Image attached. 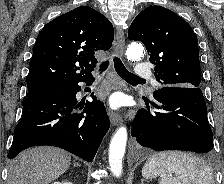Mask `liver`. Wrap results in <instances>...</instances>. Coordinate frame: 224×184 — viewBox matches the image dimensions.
Here are the masks:
<instances>
[{"label": "liver", "instance_id": "1", "mask_svg": "<svg viewBox=\"0 0 224 184\" xmlns=\"http://www.w3.org/2000/svg\"><path fill=\"white\" fill-rule=\"evenodd\" d=\"M71 156L55 147L21 152L9 165L7 184H50L69 168Z\"/></svg>", "mask_w": 224, "mask_h": 184}]
</instances>
